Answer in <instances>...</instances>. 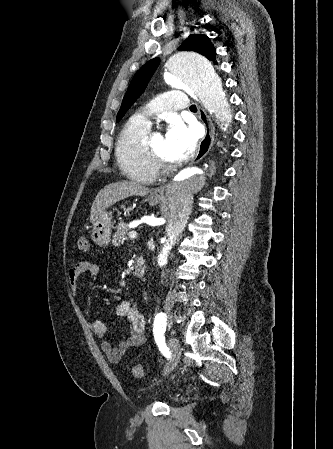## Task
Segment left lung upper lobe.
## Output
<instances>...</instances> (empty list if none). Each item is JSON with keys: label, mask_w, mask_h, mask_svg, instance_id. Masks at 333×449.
<instances>
[{"label": "left lung upper lobe", "mask_w": 333, "mask_h": 449, "mask_svg": "<svg viewBox=\"0 0 333 449\" xmlns=\"http://www.w3.org/2000/svg\"><path fill=\"white\" fill-rule=\"evenodd\" d=\"M179 50L195 51L204 55L210 60H214L216 56V50L210 39L206 35L202 34L190 35L181 44ZM159 61V58L151 59L136 72L123 98L121 108L117 115V122L124 116L127 110L144 91L151 76L158 67Z\"/></svg>", "instance_id": "1"}]
</instances>
